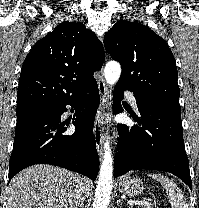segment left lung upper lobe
Masks as SVG:
<instances>
[{
    "label": "left lung upper lobe",
    "mask_w": 199,
    "mask_h": 208,
    "mask_svg": "<svg viewBox=\"0 0 199 208\" xmlns=\"http://www.w3.org/2000/svg\"><path fill=\"white\" fill-rule=\"evenodd\" d=\"M104 46L122 66L118 85L147 103L180 108L177 67L165 40L137 21L120 20L105 34Z\"/></svg>",
    "instance_id": "1"
}]
</instances>
